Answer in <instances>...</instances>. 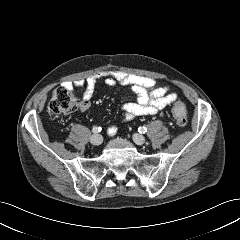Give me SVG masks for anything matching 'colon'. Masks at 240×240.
<instances>
[{"instance_id":"5ec220e1","label":"colon","mask_w":240,"mask_h":240,"mask_svg":"<svg viewBox=\"0 0 240 240\" xmlns=\"http://www.w3.org/2000/svg\"><path fill=\"white\" fill-rule=\"evenodd\" d=\"M78 107L79 102L71 89L65 86H58L54 89L48 104V114L52 118H58L74 112ZM172 114L179 126H185L187 124V110L183 103L178 101L174 102Z\"/></svg>"}]
</instances>
